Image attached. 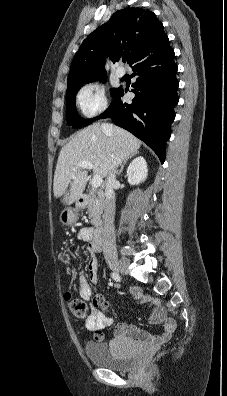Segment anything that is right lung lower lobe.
Returning <instances> with one entry per match:
<instances>
[{"label":"right lung lower lobe","mask_w":227,"mask_h":396,"mask_svg":"<svg viewBox=\"0 0 227 396\" xmlns=\"http://www.w3.org/2000/svg\"><path fill=\"white\" fill-rule=\"evenodd\" d=\"M131 65L137 76L132 103H122L124 90L120 87L109 108L96 119L110 117L150 146L163 163L178 103L174 51L168 41L144 52Z\"/></svg>","instance_id":"1"}]
</instances>
